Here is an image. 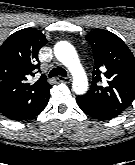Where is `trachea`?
Here are the masks:
<instances>
[{"mask_svg": "<svg viewBox=\"0 0 135 165\" xmlns=\"http://www.w3.org/2000/svg\"><path fill=\"white\" fill-rule=\"evenodd\" d=\"M61 75L63 77L67 76V72L62 67L53 68L49 73V78Z\"/></svg>", "mask_w": 135, "mask_h": 165, "instance_id": "obj_1", "label": "trachea"}]
</instances>
